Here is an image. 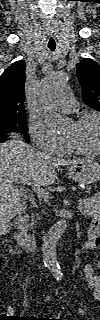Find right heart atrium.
<instances>
[{
  "mask_svg": "<svg viewBox=\"0 0 100 320\" xmlns=\"http://www.w3.org/2000/svg\"><path fill=\"white\" fill-rule=\"evenodd\" d=\"M29 135L34 145L48 153H57L63 140L54 134L43 123L32 121L29 123Z\"/></svg>",
  "mask_w": 100,
  "mask_h": 320,
  "instance_id": "d8ad5b80",
  "label": "right heart atrium"
}]
</instances>
